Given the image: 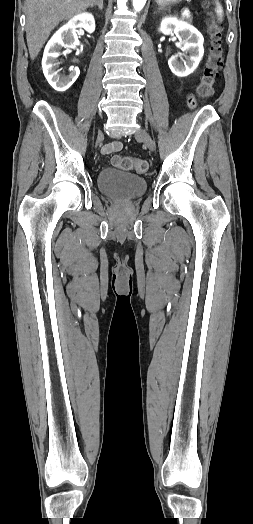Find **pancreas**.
<instances>
[{
    "label": "pancreas",
    "mask_w": 253,
    "mask_h": 524,
    "mask_svg": "<svg viewBox=\"0 0 253 524\" xmlns=\"http://www.w3.org/2000/svg\"><path fill=\"white\" fill-rule=\"evenodd\" d=\"M185 19H186L187 21H190V22L192 21L191 16H186Z\"/></svg>",
    "instance_id": "1"
}]
</instances>
